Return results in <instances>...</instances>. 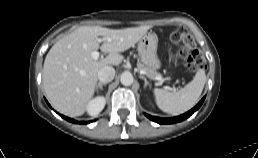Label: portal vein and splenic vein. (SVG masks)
Returning <instances> with one entry per match:
<instances>
[{"label": "portal vein and splenic vein", "instance_id": "1", "mask_svg": "<svg viewBox=\"0 0 258 158\" xmlns=\"http://www.w3.org/2000/svg\"><path fill=\"white\" fill-rule=\"evenodd\" d=\"M102 40H104V39H99V42H101ZM91 56H92L93 59L97 60L100 57V53L97 50H95L91 53ZM140 73L143 74V75H147V73L143 70H141ZM154 79L158 80V81H161V82L167 80L165 78H162L161 76H157Z\"/></svg>", "mask_w": 258, "mask_h": 158}]
</instances>
